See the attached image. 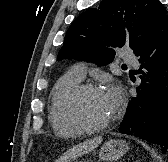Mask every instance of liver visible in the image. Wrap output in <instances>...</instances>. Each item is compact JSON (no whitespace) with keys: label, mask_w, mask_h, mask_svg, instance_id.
<instances>
[{"label":"liver","mask_w":168,"mask_h":162,"mask_svg":"<svg viewBox=\"0 0 168 162\" xmlns=\"http://www.w3.org/2000/svg\"><path fill=\"white\" fill-rule=\"evenodd\" d=\"M101 142H102V138L99 137L93 140L80 143L74 146L73 148H71L70 150H68L66 153H64L55 162H69L70 160L75 159L80 155H83L85 153H88L94 150Z\"/></svg>","instance_id":"1"}]
</instances>
